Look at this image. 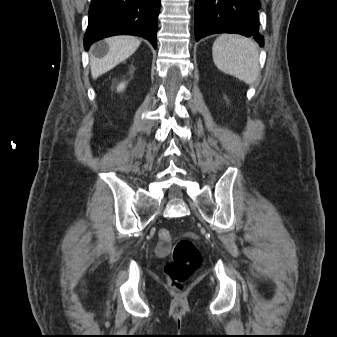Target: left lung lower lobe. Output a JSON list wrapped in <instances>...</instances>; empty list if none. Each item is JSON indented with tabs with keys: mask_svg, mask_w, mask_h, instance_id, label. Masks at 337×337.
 <instances>
[{
	"mask_svg": "<svg viewBox=\"0 0 337 337\" xmlns=\"http://www.w3.org/2000/svg\"><path fill=\"white\" fill-rule=\"evenodd\" d=\"M260 6V0H196V40L215 33H238L253 36L263 46L258 22Z\"/></svg>",
	"mask_w": 337,
	"mask_h": 337,
	"instance_id": "1",
	"label": "left lung lower lobe"
}]
</instances>
